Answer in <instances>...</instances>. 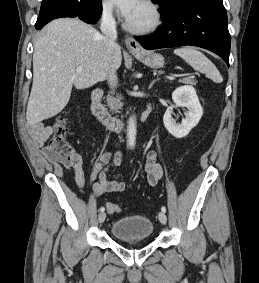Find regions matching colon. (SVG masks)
<instances>
[{"instance_id":"1","label":"colon","mask_w":259,"mask_h":283,"mask_svg":"<svg viewBox=\"0 0 259 283\" xmlns=\"http://www.w3.org/2000/svg\"><path fill=\"white\" fill-rule=\"evenodd\" d=\"M69 115L66 111L59 115L53 124V133L46 147L44 148L45 156L52 161H57L64 166H75L81 163V156L68 140ZM108 213H118L120 207L113 202L106 203Z\"/></svg>"}]
</instances>
